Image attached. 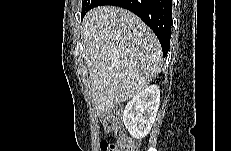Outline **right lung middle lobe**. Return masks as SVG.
Masks as SVG:
<instances>
[{"instance_id":"dd1d6c3e","label":"right lung middle lobe","mask_w":231,"mask_h":151,"mask_svg":"<svg viewBox=\"0 0 231 151\" xmlns=\"http://www.w3.org/2000/svg\"><path fill=\"white\" fill-rule=\"evenodd\" d=\"M90 3H91V1H89V0H84L82 2L81 17L90 9Z\"/></svg>"}]
</instances>
